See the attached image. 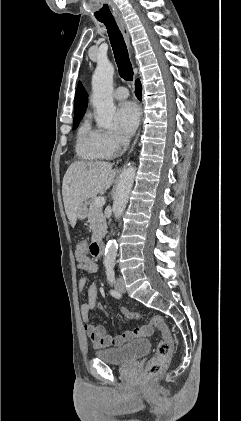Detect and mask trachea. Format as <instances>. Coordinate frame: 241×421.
<instances>
[{
    "label": "trachea",
    "instance_id": "obj_1",
    "mask_svg": "<svg viewBox=\"0 0 241 421\" xmlns=\"http://www.w3.org/2000/svg\"><path fill=\"white\" fill-rule=\"evenodd\" d=\"M107 28L109 40L118 66L119 75L126 81L133 80V68L129 59L127 46L115 19H100Z\"/></svg>",
    "mask_w": 241,
    "mask_h": 421
}]
</instances>
